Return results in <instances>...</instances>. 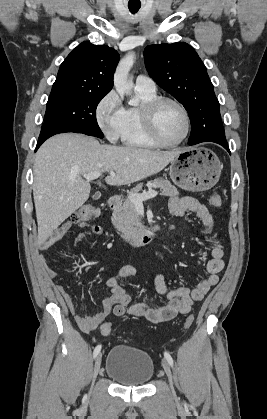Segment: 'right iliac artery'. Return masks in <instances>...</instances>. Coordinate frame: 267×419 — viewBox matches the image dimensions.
<instances>
[{"instance_id":"right-iliac-artery-1","label":"right iliac artery","mask_w":267,"mask_h":419,"mask_svg":"<svg viewBox=\"0 0 267 419\" xmlns=\"http://www.w3.org/2000/svg\"><path fill=\"white\" fill-rule=\"evenodd\" d=\"M100 350H101V345H97V346L95 347V349H94V352H93V357H94V358H96V357H97V355L99 354Z\"/></svg>"}]
</instances>
